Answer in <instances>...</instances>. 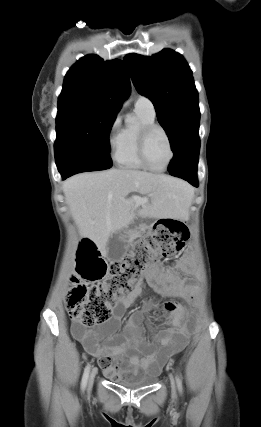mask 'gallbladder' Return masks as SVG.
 <instances>
[{
	"instance_id": "bac80fb5",
	"label": "gallbladder",
	"mask_w": 261,
	"mask_h": 427,
	"mask_svg": "<svg viewBox=\"0 0 261 427\" xmlns=\"http://www.w3.org/2000/svg\"><path fill=\"white\" fill-rule=\"evenodd\" d=\"M107 259L110 261H119L126 252L125 244L120 240L118 234L110 236L106 243Z\"/></svg>"
}]
</instances>
